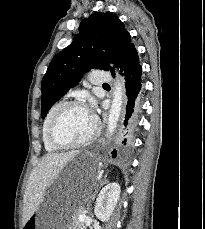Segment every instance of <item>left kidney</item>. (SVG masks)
Wrapping results in <instances>:
<instances>
[{
	"instance_id": "5707ae66",
	"label": "left kidney",
	"mask_w": 205,
	"mask_h": 229,
	"mask_svg": "<svg viewBox=\"0 0 205 229\" xmlns=\"http://www.w3.org/2000/svg\"><path fill=\"white\" fill-rule=\"evenodd\" d=\"M120 185L107 184L99 193L95 202V215L101 221H108L120 197Z\"/></svg>"
}]
</instances>
